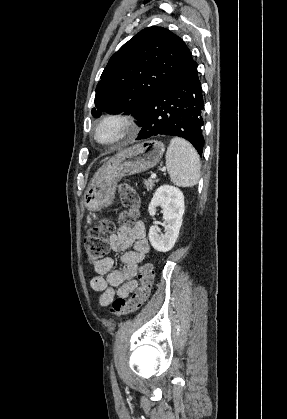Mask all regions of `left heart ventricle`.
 Returning <instances> with one entry per match:
<instances>
[{
    "instance_id": "b2bd125f",
    "label": "left heart ventricle",
    "mask_w": 287,
    "mask_h": 419,
    "mask_svg": "<svg viewBox=\"0 0 287 419\" xmlns=\"http://www.w3.org/2000/svg\"><path fill=\"white\" fill-rule=\"evenodd\" d=\"M123 133L122 128L114 124H106L102 126L98 132L97 137L102 142H109Z\"/></svg>"
}]
</instances>
